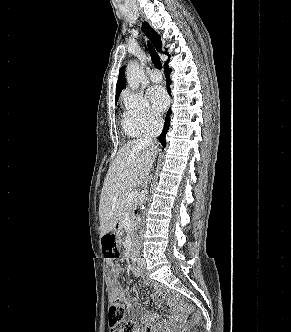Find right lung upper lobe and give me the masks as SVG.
I'll return each instance as SVG.
<instances>
[{
  "label": "right lung upper lobe",
  "mask_w": 291,
  "mask_h": 332,
  "mask_svg": "<svg viewBox=\"0 0 291 332\" xmlns=\"http://www.w3.org/2000/svg\"><path fill=\"white\" fill-rule=\"evenodd\" d=\"M142 28L144 29L146 34L149 36V38L153 42L157 51H161L162 42H161V38H160L159 34L156 33L154 31V29L151 28V26L147 22H143ZM164 54L169 55L167 52H164ZM125 86H126V80H125V75H124V69L121 68L119 71L118 81H117V85H116V100L118 99L122 89Z\"/></svg>",
  "instance_id": "obj_1"
}]
</instances>
